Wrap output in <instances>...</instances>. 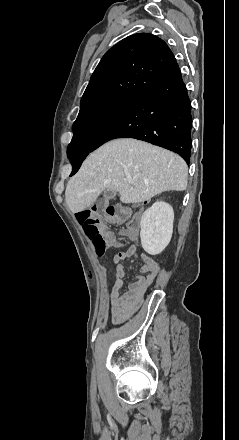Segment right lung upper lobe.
Returning <instances> with one entry per match:
<instances>
[{
	"instance_id": "obj_1",
	"label": "right lung upper lobe",
	"mask_w": 239,
	"mask_h": 440,
	"mask_svg": "<svg viewBox=\"0 0 239 440\" xmlns=\"http://www.w3.org/2000/svg\"><path fill=\"white\" fill-rule=\"evenodd\" d=\"M177 65L167 44L155 35L139 33L109 49L91 76L80 110L116 97H137Z\"/></svg>"
}]
</instances>
